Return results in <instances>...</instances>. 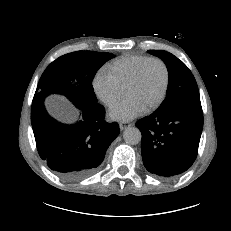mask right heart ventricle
I'll return each instance as SVG.
<instances>
[{"label": "right heart ventricle", "mask_w": 231, "mask_h": 231, "mask_svg": "<svg viewBox=\"0 0 231 231\" xmlns=\"http://www.w3.org/2000/svg\"><path fill=\"white\" fill-rule=\"evenodd\" d=\"M151 57L141 54H126L106 65L107 71L114 77L119 87L126 89L137 68Z\"/></svg>", "instance_id": "e07e8e85"}]
</instances>
